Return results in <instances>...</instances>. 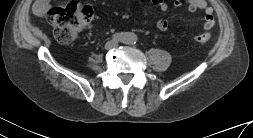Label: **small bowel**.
<instances>
[{
	"label": "small bowel",
	"instance_id": "small-bowel-1",
	"mask_svg": "<svg viewBox=\"0 0 253 138\" xmlns=\"http://www.w3.org/2000/svg\"><path fill=\"white\" fill-rule=\"evenodd\" d=\"M153 6L161 12H165L168 9V4L165 0H150ZM187 8L190 12H195L197 10L204 11V29L209 30L215 24V18L213 14V9L208 5L206 0H185ZM51 0H36L33 6L34 13L36 15L42 16L47 13L50 8ZM173 7L175 9H180L182 7V2L180 0L173 1ZM169 28V23L166 19H160L157 22V29L161 32H166Z\"/></svg>",
	"mask_w": 253,
	"mask_h": 138
}]
</instances>
